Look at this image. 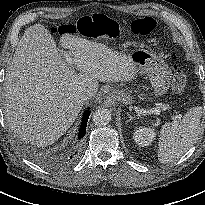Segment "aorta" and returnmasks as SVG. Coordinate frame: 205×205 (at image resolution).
<instances>
[{"instance_id":"aorta-1","label":"aorta","mask_w":205,"mask_h":205,"mask_svg":"<svg viewBox=\"0 0 205 205\" xmlns=\"http://www.w3.org/2000/svg\"><path fill=\"white\" fill-rule=\"evenodd\" d=\"M93 122L97 126H106L111 121V112L108 109L100 108L93 113Z\"/></svg>"}]
</instances>
